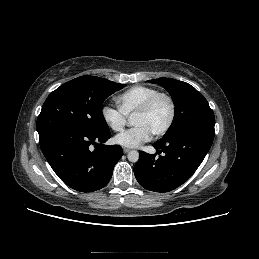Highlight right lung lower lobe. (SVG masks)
Segmentation results:
<instances>
[{
	"mask_svg": "<svg viewBox=\"0 0 259 259\" xmlns=\"http://www.w3.org/2000/svg\"><path fill=\"white\" fill-rule=\"evenodd\" d=\"M110 137V131L58 126L39 133V142L48 163L65 184L80 192H92L109 182L123 154L119 145H104Z\"/></svg>",
	"mask_w": 259,
	"mask_h": 259,
	"instance_id": "right-lung-lower-lobe-1",
	"label": "right lung lower lobe"
}]
</instances>
